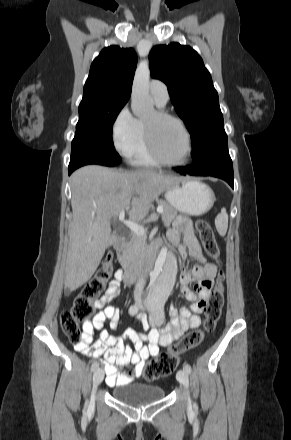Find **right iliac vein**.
<instances>
[{
	"label": "right iliac vein",
	"mask_w": 291,
	"mask_h": 440,
	"mask_svg": "<svg viewBox=\"0 0 291 440\" xmlns=\"http://www.w3.org/2000/svg\"><path fill=\"white\" fill-rule=\"evenodd\" d=\"M103 378H104L103 369H100V368L96 369L94 372V375H93V390H92V396H91V404L94 401L96 389L103 381Z\"/></svg>",
	"instance_id": "obj_1"
}]
</instances>
